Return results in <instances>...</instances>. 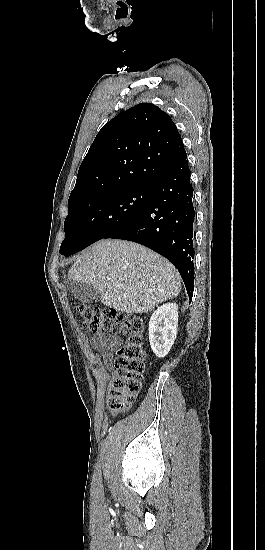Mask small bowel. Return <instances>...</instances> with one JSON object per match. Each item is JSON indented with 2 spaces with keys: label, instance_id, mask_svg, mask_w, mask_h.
Instances as JSON below:
<instances>
[{
  "label": "small bowel",
  "instance_id": "1",
  "mask_svg": "<svg viewBox=\"0 0 265 550\" xmlns=\"http://www.w3.org/2000/svg\"><path fill=\"white\" fill-rule=\"evenodd\" d=\"M120 343V338L105 334H101L91 340L92 348L98 352L107 366L110 365L113 357L112 348L117 347ZM89 356L92 361L97 360L96 354L90 353Z\"/></svg>",
  "mask_w": 265,
  "mask_h": 550
}]
</instances>
